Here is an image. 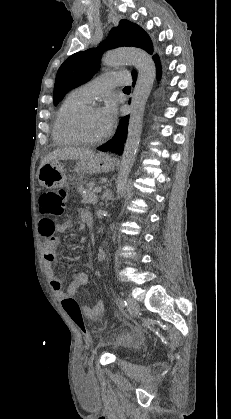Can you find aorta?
Masks as SVG:
<instances>
[{
  "label": "aorta",
  "mask_w": 231,
  "mask_h": 419,
  "mask_svg": "<svg viewBox=\"0 0 231 419\" xmlns=\"http://www.w3.org/2000/svg\"><path fill=\"white\" fill-rule=\"evenodd\" d=\"M103 63L111 67L131 63L138 71L137 81L131 97L127 139L117 179V185L120 187L126 182L136 159L142 133L144 111L154 84L156 69L150 55L139 49H116L110 51L103 57Z\"/></svg>",
  "instance_id": "aorta-1"
}]
</instances>
